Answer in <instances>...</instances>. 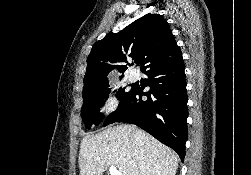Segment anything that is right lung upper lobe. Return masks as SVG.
I'll return each mask as SVG.
<instances>
[{
	"instance_id": "1",
	"label": "right lung upper lobe",
	"mask_w": 251,
	"mask_h": 175,
	"mask_svg": "<svg viewBox=\"0 0 251 175\" xmlns=\"http://www.w3.org/2000/svg\"><path fill=\"white\" fill-rule=\"evenodd\" d=\"M180 58L182 53L169 23L160 14H146L122 31L108 33L93 45L87 58L84 88L108 84L107 76L114 68L124 73L127 66L118 63H128L131 59L141 62L145 73Z\"/></svg>"
}]
</instances>
